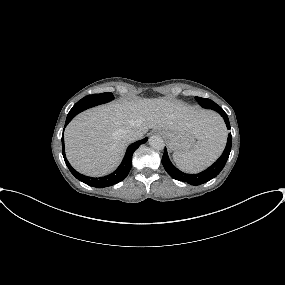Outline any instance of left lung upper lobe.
<instances>
[{"instance_id":"5c2ea615","label":"left lung upper lobe","mask_w":285,"mask_h":285,"mask_svg":"<svg viewBox=\"0 0 285 285\" xmlns=\"http://www.w3.org/2000/svg\"><path fill=\"white\" fill-rule=\"evenodd\" d=\"M196 101L199 103L200 106L208 109L216 110L219 106L210 99L195 97Z\"/></svg>"}]
</instances>
